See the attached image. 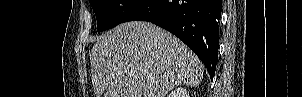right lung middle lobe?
Masks as SVG:
<instances>
[{"instance_id":"dd1d6c3e","label":"right lung middle lobe","mask_w":302,"mask_h":97,"mask_svg":"<svg viewBox=\"0 0 302 97\" xmlns=\"http://www.w3.org/2000/svg\"><path fill=\"white\" fill-rule=\"evenodd\" d=\"M141 0H89L96 18L97 29L104 31L122 23L123 18Z\"/></svg>"}]
</instances>
